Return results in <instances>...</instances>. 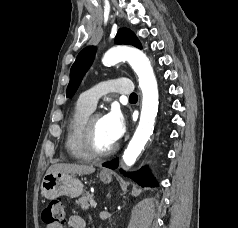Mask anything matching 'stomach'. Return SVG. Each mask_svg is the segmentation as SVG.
Returning <instances> with one entry per match:
<instances>
[{"mask_svg":"<svg viewBox=\"0 0 238 228\" xmlns=\"http://www.w3.org/2000/svg\"><path fill=\"white\" fill-rule=\"evenodd\" d=\"M99 177L103 183L112 181V175L109 172H101ZM83 192V183L73 174L57 171L47 172L41 183V194L47 199H54L61 195L74 198L80 196Z\"/></svg>","mask_w":238,"mask_h":228,"instance_id":"0dacf381","label":"stomach"}]
</instances>
